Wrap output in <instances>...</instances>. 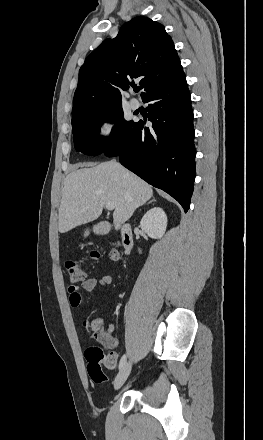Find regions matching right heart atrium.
I'll list each match as a JSON object with an SVG mask.
<instances>
[{"instance_id": "right-heart-atrium-1", "label": "right heart atrium", "mask_w": 263, "mask_h": 440, "mask_svg": "<svg viewBox=\"0 0 263 440\" xmlns=\"http://www.w3.org/2000/svg\"><path fill=\"white\" fill-rule=\"evenodd\" d=\"M116 129V122L111 117H103L97 125L98 136L105 141L113 138Z\"/></svg>"}]
</instances>
